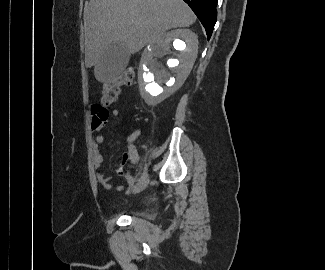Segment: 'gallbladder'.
<instances>
[{
	"instance_id": "obj_1",
	"label": "gallbladder",
	"mask_w": 325,
	"mask_h": 270,
	"mask_svg": "<svg viewBox=\"0 0 325 270\" xmlns=\"http://www.w3.org/2000/svg\"><path fill=\"white\" fill-rule=\"evenodd\" d=\"M130 52L123 42H112L101 54L96 66L97 73L108 79L118 76L127 66Z\"/></svg>"
}]
</instances>
